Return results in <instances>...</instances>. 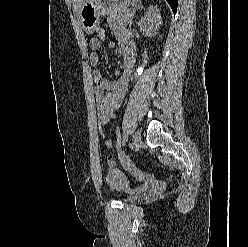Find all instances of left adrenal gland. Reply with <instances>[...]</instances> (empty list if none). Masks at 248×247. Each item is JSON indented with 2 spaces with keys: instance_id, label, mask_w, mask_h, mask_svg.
<instances>
[{
  "instance_id": "obj_1",
  "label": "left adrenal gland",
  "mask_w": 248,
  "mask_h": 247,
  "mask_svg": "<svg viewBox=\"0 0 248 247\" xmlns=\"http://www.w3.org/2000/svg\"><path fill=\"white\" fill-rule=\"evenodd\" d=\"M142 8H143V5L141 4V2H139L138 6L133 10L132 17H131V23H132V18L135 15L136 11Z\"/></svg>"
}]
</instances>
